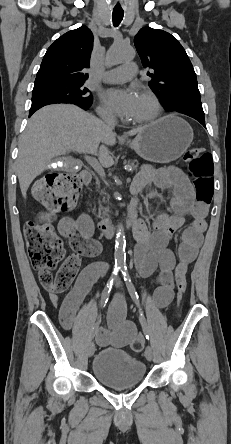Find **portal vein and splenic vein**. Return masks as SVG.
<instances>
[{
  "mask_svg": "<svg viewBox=\"0 0 231 444\" xmlns=\"http://www.w3.org/2000/svg\"><path fill=\"white\" fill-rule=\"evenodd\" d=\"M86 161L89 163V165L101 176L105 177L104 169L102 168L101 164L96 160V158L92 156H85Z\"/></svg>",
  "mask_w": 231,
  "mask_h": 444,
  "instance_id": "1",
  "label": "portal vein and splenic vein"
}]
</instances>
